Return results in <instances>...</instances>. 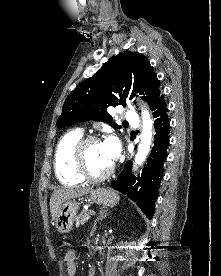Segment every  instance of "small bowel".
<instances>
[{"mask_svg":"<svg viewBox=\"0 0 221 276\" xmlns=\"http://www.w3.org/2000/svg\"><path fill=\"white\" fill-rule=\"evenodd\" d=\"M64 265L66 272L69 276H75L77 272V265H76V252L73 249H69L64 257ZM95 267L91 266L89 268L88 276H95Z\"/></svg>","mask_w":221,"mask_h":276,"instance_id":"small-bowel-1","label":"small bowel"}]
</instances>
